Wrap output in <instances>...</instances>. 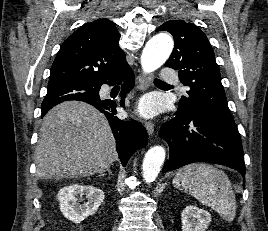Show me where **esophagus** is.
Instances as JSON below:
<instances>
[{
    "label": "esophagus",
    "mask_w": 268,
    "mask_h": 231,
    "mask_svg": "<svg viewBox=\"0 0 268 231\" xmlns=\"http://www.w3.org/2000/svg\"><path fill=\"white\" fill-rule=\"evenodd\" d=\"M137 84H138V89L141 91H145L146 89H148L150 81L149 78L143 74H139L137 76ZM145 127L147 130V133L149 136H152L154 133V123L150 120L145 121Z\"/></svg>",
    "instance_id": "obj_1"
}]
</instances>
